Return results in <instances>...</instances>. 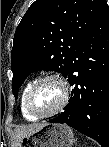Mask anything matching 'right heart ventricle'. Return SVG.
Segmentation results:
<instances>
[{"label":"right heart ventricle","mask_w":109,"mask_h":147,"mask_svg":"<svg viewBox=\"0 0 109 147\" xmlns=\"http://www.w3.org/2000/svg\"><path fill=\"white\" fill-rule=\"evenodd\" d=\"M33 83H34L33 81L27 83V85H26V86L24 87V89H23V92H22V94H21V99H20V110H21V114H22V116H23L27 121H31V122L36 121L37 118H36V117H33L32 115H30V114L27 112V110H26V108H25V97H26V94H27L28 90L30 89V87L32 86Z\"/></svg>","instance_id":"right-heart-ventricle-1"}]
</instances>
